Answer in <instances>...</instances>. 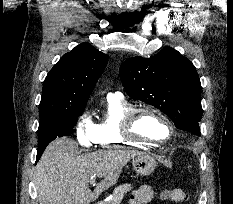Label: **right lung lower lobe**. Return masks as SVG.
Wrapping results in <instances>:
<instances>
[{"label": "right lung lower lobe", "mask_w": 233, "mask_h": 204, "mask_svg": "<svg viewBox=\"0 0 233 204\" xmlns=\"http://www.w3.org/2000/svg\"><path fill=\"white\" fill-rule=\"evenodd\" d=\"M47 145H48V144H47ZM47 145L44 144V145L38 146L36 162H37V161L39 160V158L41 157V155H42L44 149L47 147Z\"/></svg>", "instance_id": "1"}]
</instances>
